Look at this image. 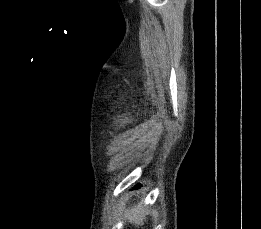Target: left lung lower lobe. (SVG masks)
<instances>
[{
  "mask_svg": "<svg viewBox=\"0 0 261 229\" xmlns=\"http://www.w3.org/2000/svg\"><path fill=\"white\" fill-rule=\"evenodd\" d=\"M139 187V185H137L135 188H138Z\"/></svg>",
  "mask_w": 261,
  "mask_h": 229,
  "instance_id": "obj_1",
  "label": "left lung lower lobe"
}]
</instances>
